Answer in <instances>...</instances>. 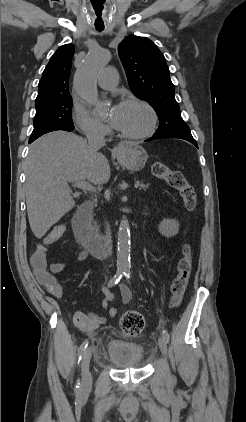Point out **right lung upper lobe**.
Segmentation results:
<instances>
[{
	"instance_id": "1",
	"label": "right lung upper lobe",
	"mask_w": 246,
	"mask_h": 422,
	"mask_svg": "<svg viewBox=\"0 0 246 422\" xmlns=\"http://www.w3.org/2000/svg\"><path fill=\"white\" fill-rule=\"evenodd\" d=\"M73 55L74 45L72 44L61 46L53 54L38 85L36 109L70 96L69 77Z\"/></svg>"
}]
</instances>
